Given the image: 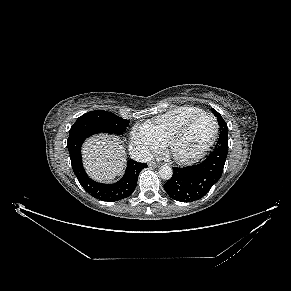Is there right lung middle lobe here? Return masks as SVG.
Returning a JSON list of instances; mask_svg holds the SVG:
<instances>
[{
	"label": "right lung middle lobe",
	"instance_id": "right-lung-middle-lobe-1",
	"mask_svg": "<svg viewBox=\"0 0 291 291\" xmlns=\"http://www.w3.org/2000/svg\"><path fill=\"white\" fill-rule=\"evenodd\" d=\"M91 124L105 133L122 134L129 121L104 110H95L80 116L73 125Z\"/></svg>",
	"mask_w": 291,
	"mask_h": 291
}]
</instances>
